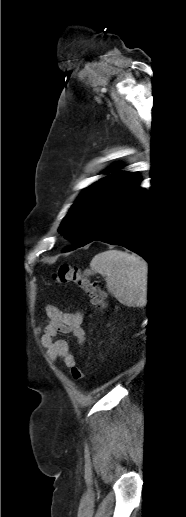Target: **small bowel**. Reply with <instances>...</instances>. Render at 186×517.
Instances as JSON below:
<instances>
[{
    "label": "small bowel",
    "mask_w": 186,
    "mask_h": 517,
    "mask_svg": "<svg viewBox=\"0 0 186 517\" xmlns=\"http://www.w3.org/2000/svg\"><path fill=\"white\" fill-rule=\"evenodd\" d=\"M48 323L42 336V344L46 349L47 357L51 362H62L71 368L76 361L71 353L69 343L58 338L60 334L72 335L79 344L85 340V331L82 327V312H66L49 305L47 307Z\"/></svg>",
    "instance_id": "obj_1"
}]
</instances>
